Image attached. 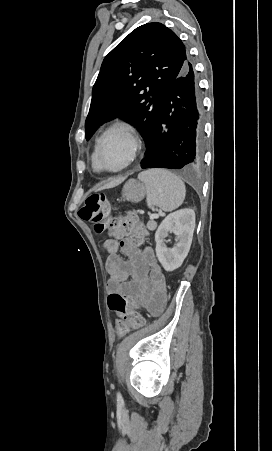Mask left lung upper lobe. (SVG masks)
Returning <instances> with one entry per match:
<instances>
[{
	"instance_id": "left-lung-upper-lobe-1",
	"label": "left lung upper lobe",
	"mask_w": 272,
	"mask_h": 451,
	"mask_svg": "<svg viewBox=\"0 0 272 451\" xmlns=\"http://www.w3.org/2000/svg\"><path fill=\"white\" fill-rule=\"evenodd\" d=\"M186 59L184 44L163 24L133 30L102 63L85 122L86 139L100 125L121 117L140 126L149 146L162 101Z\"/></svg>"
}]
</instances>
